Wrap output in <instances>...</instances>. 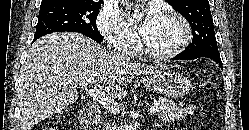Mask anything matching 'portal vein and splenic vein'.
<instances>
[{"label": "portal vein and splenic vein", "instance_id": "18ae733b", "mask_svg": "<svg viewBox=\"0 0 249 130\" xmlns=\"http://www.w3.org/2000/svg\"><path fill=\"white\" fill-rule=\"evenodd\" d=\"M86 94L96 100L100 105L111 111L112 113H119V107L116 103L112 101L111 98L105 95L100 89L94 88L86 90ZM159 111L158 105H155L150 108V113L154 114L155 112Z\"/></svg>", "mask_w": 249, "mask_h": 130}]
</instances>
